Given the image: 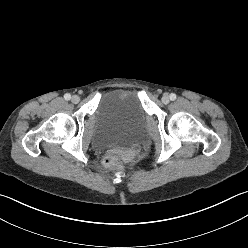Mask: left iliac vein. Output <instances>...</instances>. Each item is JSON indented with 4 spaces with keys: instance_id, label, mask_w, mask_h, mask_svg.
I'll use <instances>...</instances> for the list:
<instances>
[{
    "instance_id": "obj_1",
    "label": "left iliac vein",
    "mask_w": 248,
    "mask_h": 248,
    "mask_svg": "<svg viewBox=\"0 0 248 248\" xmlns=\"http://www.w3.org/2000/svg\"><path fill=\"white\" fill-rule=\"evenodd\" d=\"M162 102L164 103V104H168L169 103V101H170V98H169V95L168 94H164L163 96H162Z\"/></svg>"
}]
</instances>
